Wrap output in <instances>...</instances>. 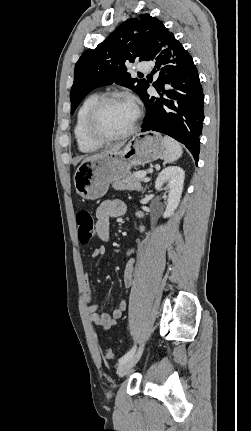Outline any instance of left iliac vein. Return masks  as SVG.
Returning <instances> with one entry per match:
<instances>
[{
    "label": "left iliac vein",
    "mask_w": 251,
    "mask_h": 431,
    "mask_svg": "<svg viewBox=\"0 0 251 431\" xmlns=\"http://www.w3.org/2000/svg\"><path fill=\"white\" fill-rule=\"evenodd\" d=\"M144 350V344H142L136 353L133 354L128 360L120 363L117 367V374L119 377H123L140 359Z\"/></svg>",
    "instance_id": "left-iliac-vein-1"
}]
</instances>
